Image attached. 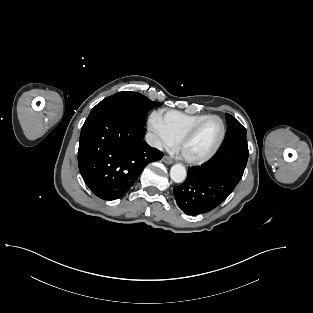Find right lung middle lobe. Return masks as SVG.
Wrapping results in <instances>:
<instances>
[{
	"mask_svg": "<svg viewBox=\"0 0 313 313\" xmlns=\"http://www.w3.org/2000/svg\"><path fill=\"white\" fill-rule=\"evenodd\" d=\"M160 103L151 101L146 96L131 91H123L105 98L91 110L89 118L102 113L118 114L137 126L144 127L147 112Z\"/></svg>",
	"mask_w": 313,
	"mask_h": 313,
	"instance_id": "dd1d6c3e",
	"label": "right lung middle lobe"
}]
</instances>
